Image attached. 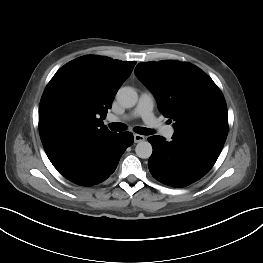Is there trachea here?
<instances>
[{
	"label": "trachea",
	"instance_id": "trachea-1",
	"mask_svg": "<svg viewBox=\"0 0 263 263\" xmlns=\"http://www.w3.org/2000/svg\"><path fill=\"white\" fill-rule=\"evenodd\" d=\"M109 127L112 131H124L127 128L126 125L121 123H111ZM134 131L141 135H151L154 133V131L144 127H135Z\"/></svg>",
	"mask_w": 263,
	"mask_h": 263
}]
</instances>
